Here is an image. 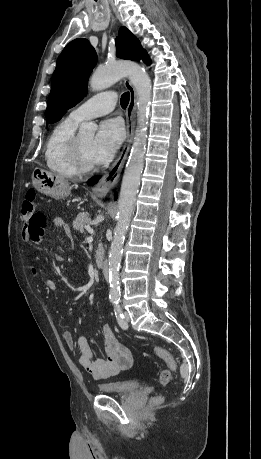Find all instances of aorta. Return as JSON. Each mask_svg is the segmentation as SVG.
<instances>
[{
  "mask_svg": "<svg viewBox=\"0 0 261 459\" xmlns=\"http://www.w3.org/2000/svg\"><path fill=\"white\" fill-rule=\"evenodd\" d=\"M125 76L129 78L137 94V128L122 179L118 199L117 224L114 229V237L108 258L109 296L113 301L120 299L119 269L123 244L144 168L152 86L145 70L138 64L131 62H118L114 65L98 68L89 82V86L93 91H101ZM96 129L97 125L95 123L83 122L79 127V134L93 136Z\"/></svg>",
  "mask_w": 261,
  "mask_h": 459,
  "instance_id": "aorta-1",
  "label": "aorta"
}]
</instances>
